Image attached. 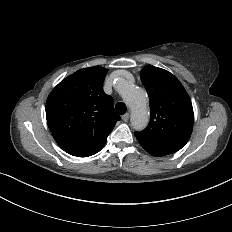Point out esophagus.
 <instances>
[{
  "label": "esophagus",
  "instance_id": "esophagus-1",
  "mask_svg": "<svg viewBox=\"0 0 232 232\" xmlns=\"http://www.w3.org/2000/svg\"><path fill=\"white\" fill-rule=\"evenodd\" d=\"M121 118L124 122H127L129 119V113H125Z\"/></svg>",
  "mask_w": 232,
  "mask_h": 232
}]
</instances>
